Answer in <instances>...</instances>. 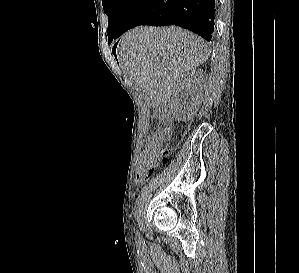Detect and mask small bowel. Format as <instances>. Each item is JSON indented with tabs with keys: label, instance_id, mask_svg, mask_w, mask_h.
<instances>
[{
	"label": "small bowel",
	"instance_id": "c3829d8e",
	"mask_svg": "<svg viewBox=\"0 0 299 273\" xmlns=\"http://www.w3.org/2000/svg\"><path fill=\"white\" fill-rule=\"evenodd\" d=\"M137 179V178H136ZM138 182H141L142 180L137 179Z\"/></svg>",
	"mask_w": 299,
	"mask_h": 273
}]
</instances>
